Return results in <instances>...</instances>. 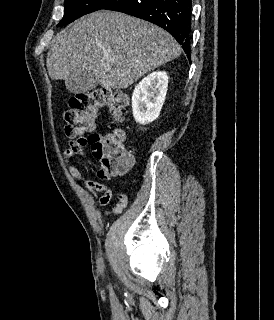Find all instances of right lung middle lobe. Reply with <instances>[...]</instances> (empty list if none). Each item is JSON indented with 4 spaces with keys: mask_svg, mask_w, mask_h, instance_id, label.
I'll use <instances>...</instances> for the list:
<instances>
[{
    "mask_svg": "<svg viewBox=\"0 0 274 320\" xmlns=\"http://www.w3.org/2000/svg\"><path fill=\"white\" fill-rule=\"evenodd\" d=\"M115 0H65L64 16L57 26L67 25L77 18L101 10Z\"/></svg>",
    "mask_w": 274,
    "mask_h": 320,
    "instance_id": "right-lung-middle-lobe-1",
    "label": "right lung middle lobe"
}]
</instances>
